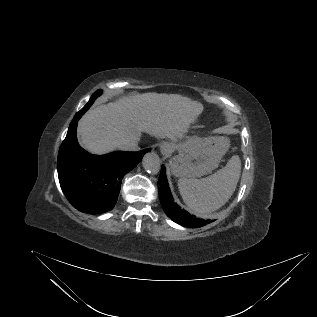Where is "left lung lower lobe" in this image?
Returning <instances> with one entry per match:
<instances>
[{
    "label": "left lung lower lobe",
    "instance_id": "obj_1",
    "mask_svg": "<svg viewBox=\"0 0 317 317\" xmlns=\"http://www.w3.org/2000/svg\"><path fill=\"white\" fill-rule=\"evenodd\" d=\"M158 192L161 201V205L169 218L174 222L192 228L202 227L206 224L213 222L214 220H201L195 216L190 215L187 211L182 210L173 200L168 186L165 167L162 166L160 177L158 180Z\"/></svg>",
    "mask_w": 317,
    "mask_h": 317
}]
</instances>
